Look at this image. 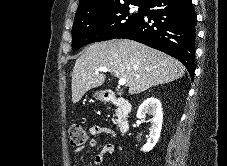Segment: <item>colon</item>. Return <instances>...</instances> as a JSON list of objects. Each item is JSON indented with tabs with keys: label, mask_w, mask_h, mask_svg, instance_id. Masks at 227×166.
I'll list each match as a JSON object with an SVG mask.
<instances>
[{
	"label": "colon",
	"mask_w": 227,
	"mask_h": 166,
	"mask_svg": "<svg viewBox=\"0 0 227 166\" xmlns=\"http://www.w3.org/2000/svg\"><path fill=\"white\" fill-rule=\"evenodd\" d=\"M70 144L74 147L88 145L90 143L89 133L81 126L72 125L68 130Z\"/></svg>",
	"instance_id": "5ec220e1"
}]
</instances>
